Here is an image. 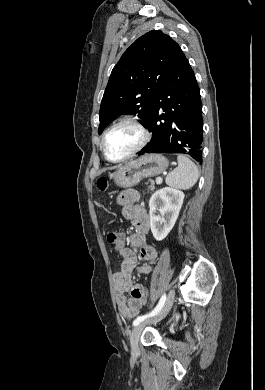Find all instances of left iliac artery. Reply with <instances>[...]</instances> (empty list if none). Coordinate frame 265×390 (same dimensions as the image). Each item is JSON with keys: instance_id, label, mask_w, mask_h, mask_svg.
<instances>
[{"instance_id": "obj_1", "label": "left iliac artery", "mask_w": 265, "mask_h": 390, "mask_svg": "<svg viewBox=\"0 0 265 390\" xmlns=\"http://www.w3.org/2000/svg\"><path fill=\"white\" fill-rule=\"evenodd\" d=\"M166 300V295H162L159 303L157 304V306L154 308V310L152 312H150L149 314H146V315H142V316H139L137 317L134 321H133V326H137L138 324H140L141 322H143L145 319L149 318V317H152V316H155L162 308V306L164 305V302Z\"/></svg>"}]
</instances>
